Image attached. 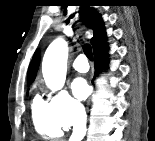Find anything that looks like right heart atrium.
Returning <instances> with one entry per match:
<instances>
[{"label":"right heart atrium","instance_id":"obj_1","mask_svg":"<svg viewBox=\"0 0 155 141\" xmlns=\"http://www.w3.org/2000/svg\"><path fill=\"white\" fill-rule=\"evenodd\" d=\"M49 104L55 120L62 129H69L84 120L83 106L66 91L53 93L49 98Z\"/></svg>","mask_w":155,"mask_h":141}]
</instances>
